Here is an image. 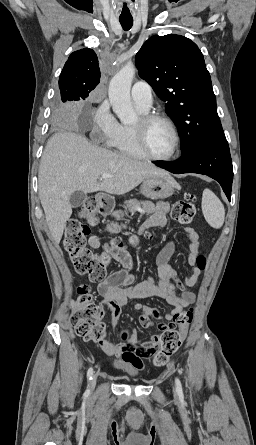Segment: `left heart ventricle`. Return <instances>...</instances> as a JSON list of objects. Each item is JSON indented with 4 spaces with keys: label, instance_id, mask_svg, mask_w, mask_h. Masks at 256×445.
<instances>
[{
    "label": "left heart ventricle",
    "instance_id": "left-heart-ventricle-1",
    "mask_svg": "<svg viewBox=\"0 0 256 445\" xmlns=\"http://www.w3.org/2000/svg\"><path fill=\"white\" fill-rule=\"evenodd\" d=\"M139 120L134 125H137ZM146 140L148 148L156 156H167L173 150L174 136L170 127L164 122L151 123L146 129Z\"/></svg>",
    "mask_w": 256,
    "mask_h": 445
}]
</instances>
